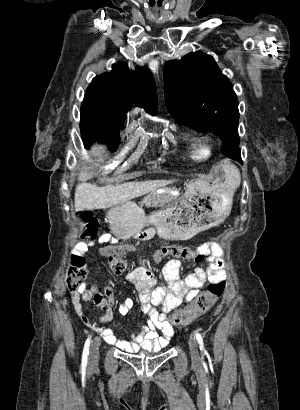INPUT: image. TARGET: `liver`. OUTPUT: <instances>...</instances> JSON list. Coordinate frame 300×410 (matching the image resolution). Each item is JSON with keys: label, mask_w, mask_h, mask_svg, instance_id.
Listing matches in <instances>:
<instances>
[{"label": "liver", "mask_w": 300, "mask_h": 410, "mask_svg": "<svg viewBox=\"0 0 300 410\" xmlns=\"http://www.w3.org/2000/svg\"><path fill=\"white\" fill-rule=\"evenodd\" d=\"M91 153L94 156L102 157L106 154V150L101 145H94ZM81 170L79 179L83 182L78 184L75 190L76 211L109 208L145 195L170 183L169 180H148L98 187L85 182L88 176V168L84 167ZM227 186L230 190L234 191L230 182H227Z\"/></svg>", "instance_id": "1"}]
</instances>
